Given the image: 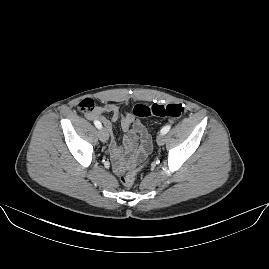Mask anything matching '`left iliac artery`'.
I'll list each match as a JSON object with an SVG mask.
<instances>
[{"label": "left iliac artery", "instance_id": "left-iliac-artery-1", "mask_svg": "<svg viewBox=\"0 0 269 269\" xmlns=\"http://www.w3.org/2000/svg\"><path fill=\"white\" fill-rule=\"evenodd\" d=\"M170 128H171L170 125L164 126V127L161 129V133H162V134H166V133L170 130Z\"/></svg>", "mask_w": 269, "mask_h": 269}]
</instances>
